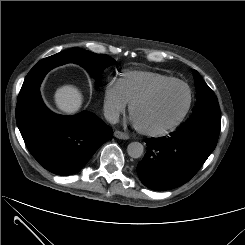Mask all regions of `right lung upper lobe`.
<instances>
[{"label":"right lung upper lobe","instance_id":"1","mask_svg":"<svg viewBox=\"0 0 245 245\" xmlns=\"http://www.w3.org/2000/svg\"><path fill=\"white\" fill-rule=\"evenodd\" d=\"M56 66L58 65L51 59V57L44 58L35 65L37 73L34 76H32L31 73H28L24 80V83L30 82L31 93H35L39 90V86L46 73Z\"/></svg>","mask_w":245,"mask_h":245}]
</instances>
